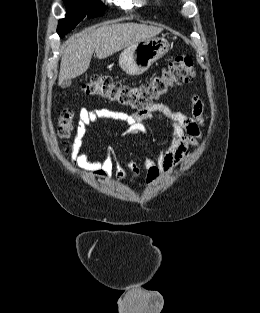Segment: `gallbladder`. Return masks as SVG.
I'll use <instances>...</instances> for the list:
<instances>
[{
	"instance_id": "1",
	"label": "gallbladder",
	"mask_w": 260,
	"mask_h": 313,
	"mask_svg": "<svg viewBox=\"0 0 260 313\" xmlns=\"http://www.w3.org/2000/svg\"><path fill=\"white\" fill-rule=\"evenodd\" d=\"M70 85H71V80L68 79V80H64V81L62 82L61 87H62V88H68V87H70Z\"/></svg>"
}]
</instances>
